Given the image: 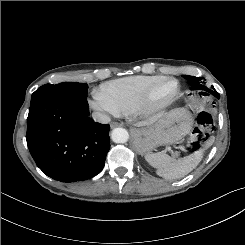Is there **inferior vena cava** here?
I'll list each match as a JSON object with an SVG mask.
<instances>
[{
  "instance_id": "602c4592",
  "label": "inferior vena cava",
  "mask_w": 245,
  "mask_h": 245,
  "mask_svg": "<svg viewBox=\"0 0 245 245\" xmlns=\"http://www.w3.org/2000/svg\"><path fill=\"white\" fill-rule=\"evenodd\" d=\"M92 117L95 121L106 124L110 122V117L100 112H93Z\"/></svg>"
}]
</instances>
